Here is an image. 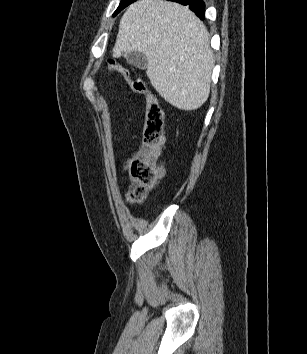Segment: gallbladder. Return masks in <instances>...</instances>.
Segmentation results:
<instances>
[{
	"mask_svg": "<svg viewBox=\"0 0 307 354\" xmlns=\"http://www.w3.org/2000/svg\"><path fill=\"white\" fill-rule=\"evenodd\" d=\"M125 58L127 60V62L131 65H133L134 67H137L139 69H146L147 68V58L143 53L140 52H127L125 54Z\"/></svg>",
	"mask_w": 307,
	"mask_h": 354,
	"instance_id": "1",
	"label": "gallbladder"
}]
</instances>
